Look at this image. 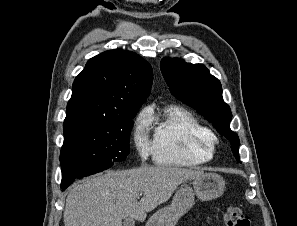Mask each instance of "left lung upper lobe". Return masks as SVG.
I'll return each instance as SVG.
<instances>
[{"instance_id":"5c2ea615","label":"left lung upper lobe","mask_w":297,"mask_h":226,"mask_svg":"<svg viewBox=\"0 0 297 226\" xmlns=\"http://www.w3.org/2000/svg\"><path fill=\"white\" fill-rule=\"evenodd\" d=\"M160 67L172 95L212 122L215 129L232 143V152L240 162L239 138L230 129L232 114L223 101L220 81L202 64L165 58Z\"/></svg>"}]
</instances>
